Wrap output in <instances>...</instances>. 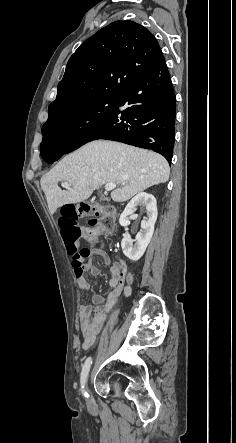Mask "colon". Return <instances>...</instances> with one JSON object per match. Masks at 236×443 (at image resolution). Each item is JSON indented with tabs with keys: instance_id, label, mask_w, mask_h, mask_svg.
Returning <instances> with one entry per match:
<instances>
[{
	"instance_id": "1",
	"label": "colon",
	"mask_w": 236,
	"mask_h": 443,
	"mask_svg": "<svg viewBox=\"0 0 236 443\" xmlns=\"http://www.w3.org/2000/svg\"><path fill=\"white\" fill-rule=\"evenodd\" d=\"M80 218H87L89 225L96 226L101 233L109 232L115 225V211L110 206L89 202L65 204L60 208L58 224L72 267L76 269H82L84 259L90 255V249L80 245L84 235L78 225Z\"/></svg>"
}]
</instances>
